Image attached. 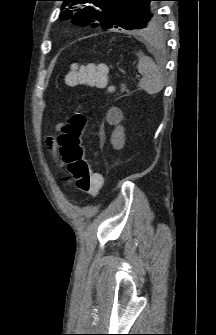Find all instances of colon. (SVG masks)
Instances as JSON below:
<instances>
[{
  "label": "colon",
  "instance_id": "5ec220e1",
  "mask_svg": "<svg viewBox=\"0 0 216 335\" xmlns=\"http://www.w3.org/2000/svg\"><path fill=\"white\" fill-rule=\"evenodd\" d=\"M70 85H84L106 88L114 86L109 83L108 67L105 64L79 65L72 63L67 75ZM85 113L74 114L62 127L57 138L59 153L67 166L68 172L75 180L77 188L91 196H96L102 186L103 177L94 173L84 156L81 138L87 124Z\"/></svg>",
  "mask_w": 216,
  "mask_h": 335
}]
</instances>
